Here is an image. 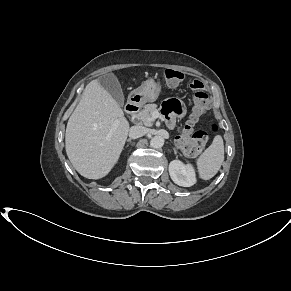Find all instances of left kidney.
Returning <instances> with one entry per match:
<instances>
[{"label":"left kidney","mask_w":291,"mask_h":291,"mask_svg":"<svg viewBox=\"0 0 291 291\" xmlns=\"http://www.w3.org/2000/svg\"><path fill=\"white\" fill-rule=\"evenodd\" d=\"M169 174L173 182L179 186L190 187L196 183L195 170L191 164H183L173 160L169 164Z\"/></svg>","instance_id":"1"}]
</instances>
